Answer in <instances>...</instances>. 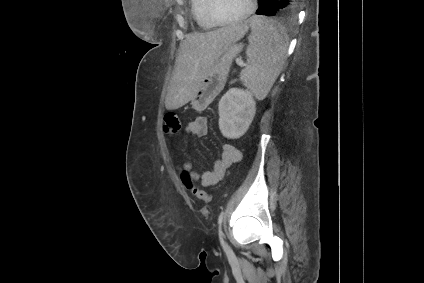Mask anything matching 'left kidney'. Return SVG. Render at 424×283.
I'll list each match as a JSON object with an SVG mask.
<instances>
[{
    "label": "left kidney",
    "instance_id": "1",
    "mask_svg": "<svg viewBox=\"0 0 424 283\" xmlns=\"http://www.w3.org/2000/svg\"><path fill=\"white\" fill-rule=\"evenodd\" d=\"M219 129L226 138L243 136L256 112V102L248 90L232 88L219 101Z\"/></svg>",
    "mask_w": 424,
    "mask_h": 283
}]
</instances>
